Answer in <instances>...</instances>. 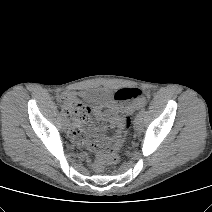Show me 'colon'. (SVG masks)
<instances>
[{
    "label": "colon",
    "instance_id": "obj_1",
    "mask_svg": "<svg viewBox=\"0 0 212 212\" xmlns=\"http://www.w3.org/2000/svg\"><path fill=\"white\" fill-rule=\"evenodd\" d=\"M115 99L118 101H132L134 104L140 105L144 103L145 93L140 88H122L115 93ZM62 109L74 118L82 117L88 113V107L79 99L70 95L62 98ZM130 126L131 117L129 114H121L117 123V134L111 138L105 154L100 155L96 160V167L98 169H103L106 163H118L119 150Z\"/></svg>",
    "mask_w": 212,
    "mask_h": 212
}]
</instances>
